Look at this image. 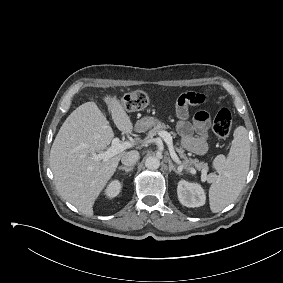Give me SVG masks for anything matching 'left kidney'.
I'll use <instances>...</instances> for the list:
<instances>
[{"mask_svg": "<svg viewBox=\"0 0 283 283\" xmlns=\"http://www.w3.org/2000/svg\"><path fill=\"white\" fill-rule=\"evenodd\" d=\"M177 194L180 203L186 207H200L205 204L204 189L198 183L181 180L178 183Z\"/></svg>", "mask_w": 283, "mask_h": 283, "instance_id": "1", "label": "left kidney"}]
</instances>
